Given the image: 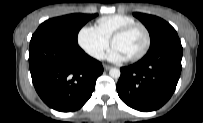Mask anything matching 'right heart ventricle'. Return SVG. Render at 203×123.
<instances>
[{"mask_svg": "<svg viewBox=\"0 0 203 123\" xmlns=\"http://www.w3.org/2000/svg\"><path fill=\"white\" fill-rule=\"evenodd\" d=\"M133 23H137V21L129 15L112 14L99 18L96 28L105 38L110 40L117 30Z\"/></svg>", "mask_w": 203, "mask_h": 123, "instance_id": "obj_1", "label": "right heart ventricle"}]
</instances>
